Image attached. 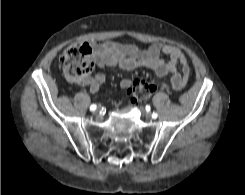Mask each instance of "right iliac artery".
Listing matches in <instances>:
<instances>
[{
  "label": "right iliac artery",
  "mask_w": 245,
  "mask_h": 195,
  "mask_svg": "<svg viewBox=\"0 0 245 195\" xmlns=\"http://www.w3.org/2000/svg\"><path fill=\"white\" fill-rule=\"evenodd\" d=\"M96 108H97V106H96L95 104H93V105L90 106V110H91V111H95Z\"/></svg>",
  "instance_id": "1"
}]
</instances>
